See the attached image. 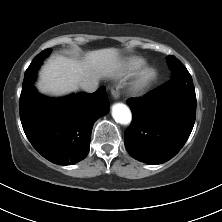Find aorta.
I'll return each mask as SVG.
<instances>
[{"mask_svg":"<svg viewBox=\"0 0 222 222\" xmlns=\"http://www.w3.org/2000/svg\"><path fill=\"white\" fill-rule=\"evenodd\" d=\"M112 117L117 123L128 125L131 123L132 114L130 109L123 103H116L112 107Z\"/></svg>","mask_w":222,"mask_h":222,"instance_id":"obj_1","label":"aorta"}]
</instances>
